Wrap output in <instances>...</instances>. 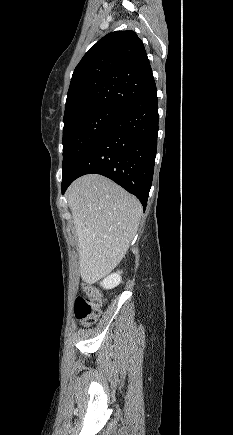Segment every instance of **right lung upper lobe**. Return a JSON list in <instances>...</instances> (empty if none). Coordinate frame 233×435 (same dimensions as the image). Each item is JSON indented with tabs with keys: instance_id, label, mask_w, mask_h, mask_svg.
Here are the masks:
<instances>
[{
	"instance_id": "cb5924a9",
	"label": "right lung upper lobe",
	"mask_w": 233,
	"mask_h": 435,
	"mask_svg": "<svg viewBox=\"0 0 233 435\" xmlns=\"http://www.w3.org/2000/svg\"><path fill=\"white\" fill-rule=\"evenodd\" d=\"M153 83L144 45L136 33H109L76 66L63 121L101 107L123 110Z\"/></svg>"
}]
</instances>
